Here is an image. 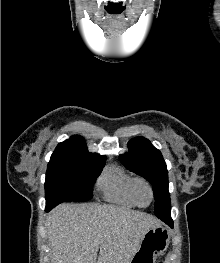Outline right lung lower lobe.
<instances>
[{
	"instance_id": "obj_1",
	"label": "right lung lower lobe",
	"mask_w": 220,
	"mask_h": 263,
	"mask_svg": "<svg viewBox=\"0 0 220 263\" xmlns=\"http://www.w3.org/2000/svg\"><path fill=\"white\" fill-rule=\"evenodd\" d=\"M54 207V205H47L46 206V212H48L49 210H51Z\"/></svg>"
}]
</instances>
